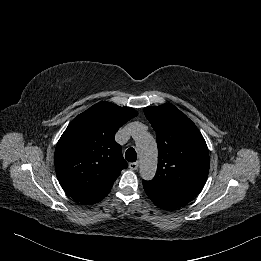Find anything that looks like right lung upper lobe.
Wrapping results in <instances>:
<instances>
[{
	"instance_id": "obj_1",
	"label": "right lung upper lobe",
	"mask_w": 261,
	"mask_h": 261,
	"mask_svg": "<svg viewBox=\"0 0 261 261\" xmlns=\"http://www.w3.org/2000/svg\"><path fill=\"white\" fill-rule=\"evenodd\" d=\"M137 115L131 107L100 102L69 124L54 154L57 178L69 196L89 205L108 195L121 170L128 167L114 135Z\"/></svg>"
}]
</instances>
